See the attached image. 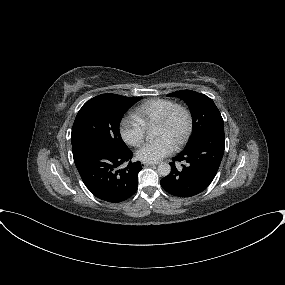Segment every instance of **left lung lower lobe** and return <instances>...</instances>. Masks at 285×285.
Returning a JSON list of instances; mask_svg holds the SVG:
<instances>
[{
    "label": "left lung lower lobe",
    "mask_w": 285,
    "mask_h": 285,
    "mask_svg": "<svg viewBox=\"0 0 285 285\" xmlns=\"http://www.w3.org/2000/svg\"><path fill=\"white\" fill-rule=\"evenodd\" d=\"M225 148L224 128H214L172 158L171 173L161 179L163 189L177 197H191L204 191L214 179ZM186 162L183 168L176 162Z\"/></svg>",
    "instance_id": "left-lung-lower-lobe-1"
}]
</instances>
